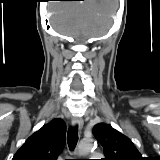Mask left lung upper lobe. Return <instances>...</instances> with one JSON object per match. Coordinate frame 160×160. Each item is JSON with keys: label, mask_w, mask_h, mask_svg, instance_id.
I'll use <instances>...</instances> for the list:
<instances>
[{"label": "left lung upper lobe", "mask_w": 160, "mask_h": 160, "mask_svg": "<svg viewBox=\"0 0 160 160\" xmlns=\"http://www.w3.org/2000/svg\"><path fill=\"white\" fill-rule=\"evenodd\" d=\"M93 133L103 146V160H144L133 142L109 124L95 125Z\"/></svg>", "instance_id": "5c2ea615"}]
</instances>
